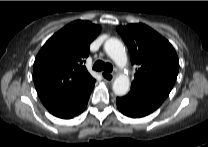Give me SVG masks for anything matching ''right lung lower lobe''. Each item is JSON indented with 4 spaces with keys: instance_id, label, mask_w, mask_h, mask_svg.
Instances as JSON below:
<instances>
[{
    "instance_id": "right-lung-lower-lobe-1",
    "label": "right lung lower lobe",
    "mask_w": 208,
    "mask_h": 147,
    "mask_svg": "<svg viewBox=\"0 0 208 147\" xmlns=\"http://www.w3.org/2000/svg\"><path fill=\"white\" fill-rule=\"evenodd\" d=\"M94 84L95 82H93L73 99L47 108L48 111L54 116L62 119H70L79 115L87 106Z\"/></svg>"
}]
</instances>
